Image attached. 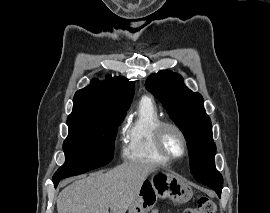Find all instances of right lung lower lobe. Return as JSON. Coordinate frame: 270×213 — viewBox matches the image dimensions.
Segmentation results:
<instances>
[{"label": "right lung lower lobe", "instance_id": "right-lung-lower-lobe-1", "mask_svg": "<svg viewBox=\"0 0 270 213\" xmlns=\"http://www.w3.org/2000/svg\"><path fill=\"white\" fill-rule=\"evenodd\" d=\"M53 183H54L55 187H57V185H58V183H59V180L53 181Z\"/></svg>", "mask_w": 270, "mask_h": 213}]
</instances>
